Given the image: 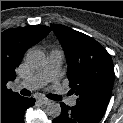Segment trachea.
<instances>
[{
    "mask_svg": "<svg viewBox=\"0 0 123 123\" xmlns=\"http://www.w3.org/2000/svg\"><path fill=\"white\" fill-rule=\"evenodd\" d=\"M20 93H21V95H24V96H30L31 95V92L27 89H22L20 91ZM48 98L51 99V100H55V101H60L61 100V97L59 95H56V94H49Z\"/></svg>",
    "mask_w": 123,
    "mask_h": 123,
    "instance_id": "1",
    "label": "trachea"
}]
</instances>
